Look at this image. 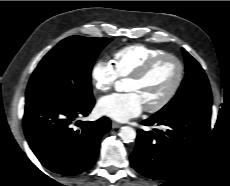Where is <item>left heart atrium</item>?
<instances>
[{
    "mask_svg": "<svg viewBox=\"0 0 230 186\" xmlns=\"http://www.w3.org/2000/svg\"><path fill=\"white\" fill-rule=\"evenodd\" d=\"M144 109L139 96L133 92L111 94L98 101L97 110L101 115L125 122L137 117Z\"/></svg>",
    "mask_w": 230,
    "mask_h": 186,
    "instance_id": "obj_1",
    "label": "left heart atrium"
}]
</instances>
